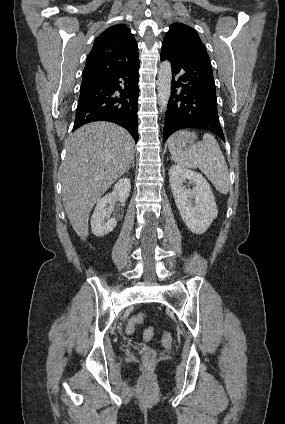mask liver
<instances>
[{
	"mask_svg": "<svg viewBox=\"0 0 285 424\" xmlns=\"http://www.w3.org/2000/svg\"><path fill=\"white\" fill-rule=\"evenodd\" d=\"M65 147L62 201L74 231L85 240L90 211L126 172L134 158V141L124 128L97 121L77 129Z\"/></svg>",
	"mask_w": 285,
	"mask_h": 424,
	"instance_id": "obj_1",
	"label": "liver"
}]
</instances>
